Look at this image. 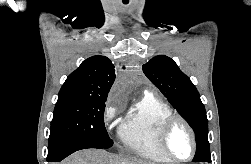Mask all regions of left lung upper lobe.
Masks as SVG:
<instances>
[{
	"label": "left lung upper lobe",
	"instance_id": "1",
	"mask_svg": "<svg viewBox=\"0 0 251 164\" xmlns=\"http://www.w3.org/2000/svg\"><path fill=\"white\" fill-rule=\"evenodd\" d=\"M142 68L149 80L192 126L197 143L193 162H211L206 111L189 77L171 58L164 55L152 58Z\"/></svg>",
	"mask_w": 251,
	"mask_h": 164
}]
</instances>
